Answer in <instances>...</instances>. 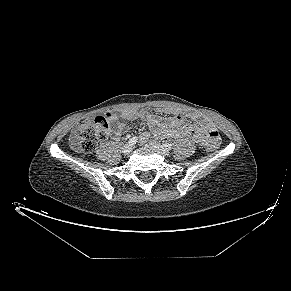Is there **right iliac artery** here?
I'll return each mask as SVG.
<instances>
[{
    "mask_svg": "<svg viewBox=\"0 0 291 291\" xmlns=\"http://www.w3.org/2000/svg\"><path fill=\"white\" fill-rule=\"evenodd\" d=\"M137 137H132L129 141H128V143L129 144H131V145H134L136 142H137Z\"/></svg>",
    "mask_w": 291,
    "mask_h": 291,
    "instance_id": "right-iliac-artery-1",
    "label": "right iliac artery"
}]
</instances>
